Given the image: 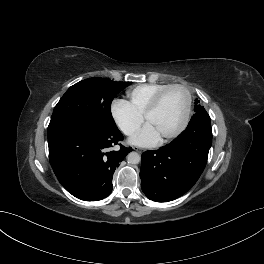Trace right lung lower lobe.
Here are the masks:
<instances>
[{
	"label": "right lung lower lobe",
	"instance_id": "1",
	"mask_svg": "<svg viewBox=\"0 0 264 264\" xmlns=\"http://www.w3.org/2000/svg\"><path fill=\"white\" fill-rule=\"evenodd\" d=\"M122 139L117 126L74 127L49 137V159L59 182L82 200L109 196L116 166L132 150L108 151Z\"/></svg>",
	"mask_w": 264,
	"mask_h": 264
}]
</instances>
